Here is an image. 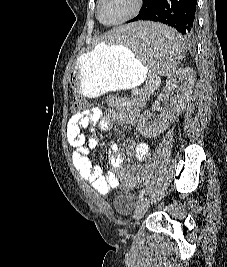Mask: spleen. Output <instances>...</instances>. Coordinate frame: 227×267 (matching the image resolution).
<instances>
[{"mask_svg":"<svg viewBox=\"0 0 227 267\" xmlns=\"http://www.w3.org/2000/svg\"><path fill=\"white\" fill-rule=\"evenodd\" d=\"M117 33L103 36L100 47H111V43H122L124 55L134 51L142 63H152V72L146 81H161L162 77H174V70L184 56L185 43L177 32L155 19H136L115 25Z\"/></svg>","mask_w":227,"mask_h":267,"instance_id":"3e777b00","label":"spleen"}]
</instances>
